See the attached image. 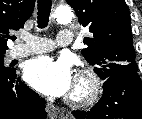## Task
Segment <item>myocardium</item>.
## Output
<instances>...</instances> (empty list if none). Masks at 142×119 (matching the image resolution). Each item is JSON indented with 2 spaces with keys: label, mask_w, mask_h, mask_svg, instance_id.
<instances>
[{
  "label": "myocardium",
  "mask_w": 142,
  "mask_h": 119,
  "mask_svg": "<svg viewBox=\"0 0 142 119\" xmlns=\"http://www.w3.org/2000/svg\"><path fill=\"white\" fill-rule=\"evenodd\" d=\"M101 92L102 81L99 75L91 69H83L76 74L74 88L66 101L74 107H89L99 99Z\"/></svg>",
  "instance_id": "f54148a6"
}]
</instances>
